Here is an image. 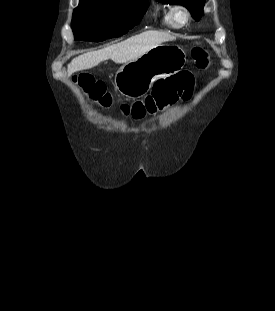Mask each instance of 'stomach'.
Returning <instances> with one entry per match:
<instances>
[{
    "instance_id": "1",
    "label": "stomach",
    "mask_w": 275,
    "mask_h": 311,
    "mask_svg": "<svg viewBox=\"0 0 275 311\" xmlns=\"http://www.w3.org/2000/svg\"><path fill=\"white\" fill-rule=\"evenodd\" d=\"M185 63L186 53L180 46L161 44L123 64L116 72L114 86L126 97H142L156 79L180 72Z\"/></svg>"
}]
</instances>
